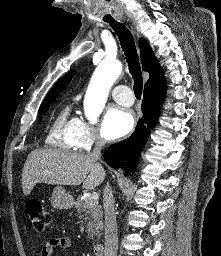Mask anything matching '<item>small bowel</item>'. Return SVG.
<instances>
[{
  "instance_id": "small-bowel-1",
  "label": "small bowel",
  "mask_w": 221,
  "mask_h": 256,
  "mask_svg": "<svg viewBox=\"0 0 221 256\" xmlns=\"http://www.w3.org/2000/svg\"><path fill=\"white\" fill-rule=\"evenodd\" d=\"M72 245V241L67 237L52 238L43 244L41 256H53V252L57 249H68Z\"/></svg>"
}]
</instances>
